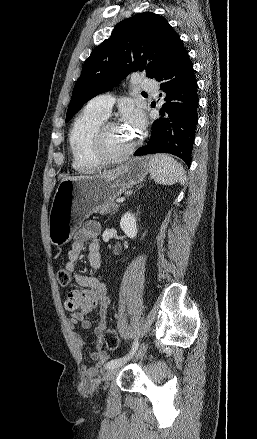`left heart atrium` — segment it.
Listing matches in <instances>:
<instances>
[{"label":"left heart atrium","instance_id":"39dd6f15","mask_svg":"<svg viewBox=\"0 0 257 439\" xmlns=\"http://www.w3.org/2000/svg\"><path fill=\"white\" fill-rule=\"evenodd\" d=\"M123 120L126 126L130 127L132 130L139 132L145 126V118L143 113L133 107L124 109Z\"/></svg>","mask_w":257,"mask_h":439}]
</instances>
